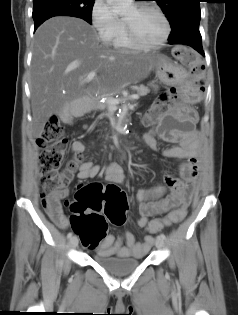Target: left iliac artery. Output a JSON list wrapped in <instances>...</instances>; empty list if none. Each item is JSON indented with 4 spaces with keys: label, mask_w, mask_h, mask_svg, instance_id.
I'll use <instances>...</instances> for the list:
<instances>
[{
    "label": "left iliac artery",
    "mask_w": 238,
    "mask_h": 315,
    "mask_svg": "<svg viewBox=\"0 0 238 315\" xmlns=\"http://www.w3.org/2000/svg\"><path fill=\"white\" fill-rule=\"evenodd\" d=\"M158 237L162 238L163 240L166 239V236L163 233H161Z\"/></svg>",
    "instance_id": "left-iliac-artery-1"
}]
</instances>
